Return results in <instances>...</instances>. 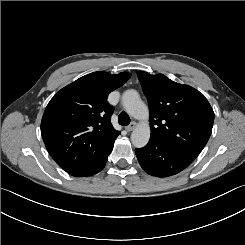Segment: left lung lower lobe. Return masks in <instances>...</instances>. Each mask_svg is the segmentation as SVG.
I'll return each instance as SVG.
<instances>
[{
  "instance_id": "left-lung-lower-lobe-1",
  "label": "left lung lower lobe",
  "mask_w": 245,
  "mask_h": 245,
  "mask_svg": "<svg viewBox=\"0 0 245 245\" xmlns=\"http://www.w3.org/2000/svg\"><path fill=\"white\" fill-rule=\"evenodd\" d=\"M137 159L144 171L156 177L176 175L195 159L184 152L155 140L143 148H136Z\"/></svg>"
}]
</instances>
